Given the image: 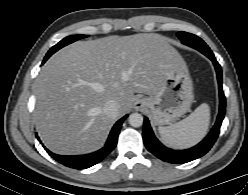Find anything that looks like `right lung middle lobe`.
Listing matches in <instances>:
<instances>
[{
	"label": "right lung middle lobe",
	"instance_id": "obj_1",
	"mask_svg": "<svg viewBox=\"0 0 248 195\" xmlns=\"http://www.w3.org/2000/svg\"><path fill=\"white\" fill-rule=\"evenodd\" d=\"M86 35H72V36H68L66 38H64L63 40H61L58 44H56L55 46H53L48 53L46 54L44 61H46L52 54H54L56 51H58L59 49H61L62 47L77 41L79 39L85 38Z\"/></svg>",
	"mask_w": 248,
	"mask_h": 195
}]
</instances>
